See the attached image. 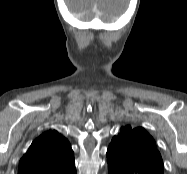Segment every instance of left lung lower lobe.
Listing matches in <instances>:
<instances>
[{
	"label": "left lung lower lobe",
	"instance_id": "obj_1",
	"mask_svg": "<svg viewBox=\"0 0 187 174\" xmlns=\"http://www.w3.org/2000/svg\"><path fill=\"white\" fill-rule=\"evenodd\" d=\"M109 174H122V173H120V172H110L109 171Z\"/></svg>",
	"mask_w": 187,
	"mask_h": 174
}]
</instances>
